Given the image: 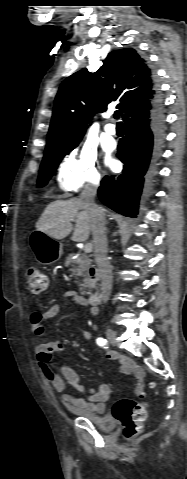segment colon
<instances>
[{
  "mask_svg": "<svg viewBox=\"0 0 187 479\" xmlns=\"http://www.w3.org/2000/svg\"><path fill=\"white\" fill-rule=\"evenodd\" d=\"M26 290L31 294H39L47 288V277L37 267L26 270ZM113 417L123 426V434L127 438L135 437L146 419V405L131 398H121L112 409Z\"/></svg>",
  "mask_w": 187,
  "mask_h": 479,
  "instance_id": "5ec220e1",
  "label": "colon"
}]
</instances>
